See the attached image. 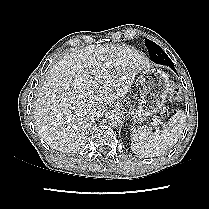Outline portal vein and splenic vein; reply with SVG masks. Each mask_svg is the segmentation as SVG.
<instances>
[{
  "mask_svg": "<svg viewBox=\"0 0 209 209\" xmlns=\"http://www.w3.org/2000/svg\"><path fill=\"white\" fill-rule=\"evenodd\" d=\"M95 80H96V78H95ZM152 124H153V126L155 127L156 131L159 132V127H158V125H159V124H163V121L160 120V119L154 118Z\"/></svg>",
  "mask_w": 209,
  "mask_h": 209,
  "instance_id": "18ae733b",
  "label": "portal vein and splenic vein"
}]
</instances>
